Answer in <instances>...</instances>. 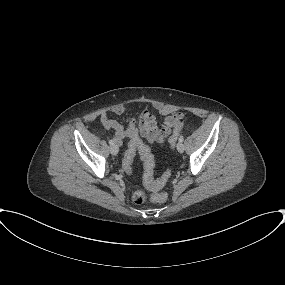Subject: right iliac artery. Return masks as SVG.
I'll return each instance as SVG.
<instances>
[{
    "mask_svg": "<svg viewBox=\"0 0 285 285\" xmlns=\"http://www.w3.org/2000/svg\"><path fill=\"white\" fill-rule=\"evenodd\" d=\"M109 144H110V145H114V140H112V139L109 140Z\"/></svg>",
    "mask_w": 285,
    "mask_h": 285,
    "instance_id": "1",
    "label": "right iliac artery"
}]
</instances>
